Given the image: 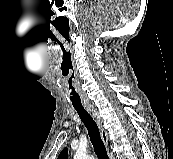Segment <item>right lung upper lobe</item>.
<instances>
[{"label":"right lung upper lobe","mask_w":173,"mask_h":159,"mask_svg":"<svg viewBox=\"0 0 173 159\" xmlns=\"http://www.w3.org/2000/svg\"><path fill=\"white\" fill-rule=\"evenodd\" d=\"M67 158H68V150H67V148H65L60 153L58 159H67Z\"/></svg>","instance_id":"obj_1"}]
</instances>
